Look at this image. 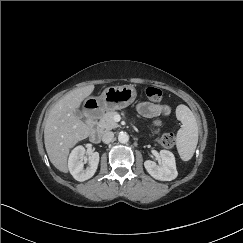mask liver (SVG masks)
<instances>
[{
  "label": "liver",
  "instance_id": "6515ba94",
  "mask_svg": "<svg viewBox=\"0 0 243 243\" xmlns=\"http://www.w3.org/2000/svg\"><path fill=\"white\" fill-rule=\"evenodd\" d=\"M94 88V85H88L71 90L49 112L44 128V144L50 162L61 172H68L70 149L92 133L91 128L76 116V111Z\"/></svg>",
  "mask_w": 243,
  "mask_h": 243
}]
</instances>
